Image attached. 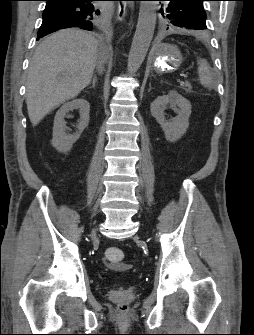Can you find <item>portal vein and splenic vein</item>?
<instances>
[{"mask_svg": "<svg viewBox=\"0 0 254 335\" xmlns=\"http://www.w3.org/2000/svg\"><path fill=\"white\" fill-rule=\"evenodd\" d=\"M183 77H184V78H187V77H188V75H187V74H183Z\"/></svg>", "mask_w": 254, "mask_h": 335, "instance_id": "18ae733b", "label": "portal vein and splenic vein"}]
</instances>
